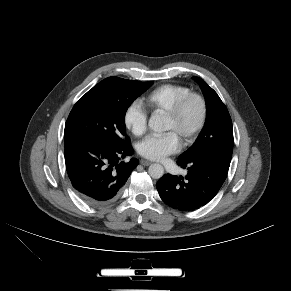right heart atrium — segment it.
<instances>
[{
  "mask_svg": "<svg viewBox=\"0 0 291 291\" xmlns=\"http://www.w3.org/2000/svg\"><path fill=\"white\" fill-rule=\"evenodd\" d=\"M124 124L134 135L141 136L148 126V113L137 101L128 105L124 113Z\"/></svg>",
  "mask_w": 291,
  "mask_h": 291,
  "instance_id": "1",
  "label": "right heart atrium"
}]
</instances>
